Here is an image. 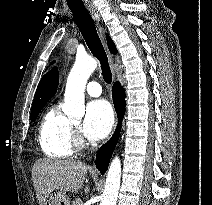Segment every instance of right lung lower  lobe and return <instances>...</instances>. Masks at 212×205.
<instances>
[{
    "label": "right lung lower lobe",
    "instance_id": "obj_1",
    "mask_svg": "<svg viewBox=\"0 0 212 205\" xmlns=\"http://www.w3.org/2000/svg\"><path fill=\"white\" fill-rule=\"evenodd\" d=\"M113 103L119 121L117 129L112 138L105 145H103L97 153L95 163L101 173H105L108 168L110 158L118 141L120 127L125 113V93L119 82H116L113 85Z\"/></svg>",
    "mask_w": 212,
    "mask_h": 205
}]
</instances>
